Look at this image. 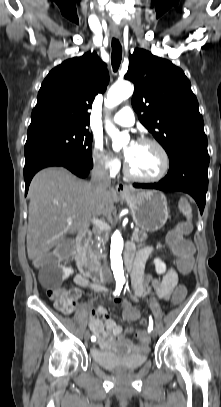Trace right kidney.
Here are the masks:
<instances>
[{
	"label": "right kidney",
	"mask_w": 221,
	"mask_h": 407,
	"mask_svg": "<svg viewBox=\"0 0 221 407\" xmlns=\"http://www.w3.org/2000/svg\"><path fill=\"white\" fill-rule=\"evenodd\" d=\"M57 272L62 277V279H66L73 274V270L71 268H65L62 266L57 269Z\"/></svg>",
	"instance_id": "1"
}]
</instances>
